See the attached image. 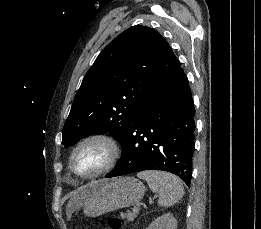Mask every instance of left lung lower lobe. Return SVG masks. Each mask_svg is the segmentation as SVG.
<instances>
[{
  "label": "left lung lower lobe",
  "instance_id": "1",
  "mask_svg": "<svg viewBox=\"0 0 261 229\" xmlns=\"http://www.w3.org/2000/svg\"><path fill=\"white\" fill-rule=\"evenodd\" d=\"M195 109L182 67L147 97L122 143V156L106 178L144 170H162L190 184Z\"/></svg>",
  "mask_w": 261,
  "mask_h": 229
}]
</instances>
